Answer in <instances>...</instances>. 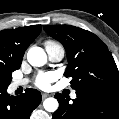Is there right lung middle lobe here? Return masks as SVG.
Returning a JSON list of instances; mask_svg holds the SVG:
<instances>
[{
    "label": "right lung middle lobe",
    "mask_w": 119,
    "mask_h": 119,
    "mask_svg": "<svg viewBox=\"0 0 119 119\" xmlns=\"http://www.w3.org/2000/svg\"><path fill=\"white\" fill-rule=\"evenodd\" d=\"M12 80V71L0 72V90L7 89Z\"/></svg>",
    "instance_id": "obj_1"
}]
</instances>
